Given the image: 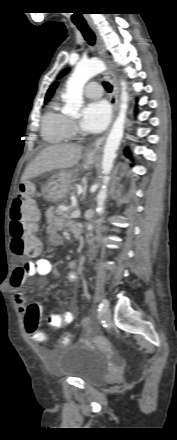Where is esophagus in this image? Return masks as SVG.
<instances>
[{
  "instance_id": "1",
  "label": "esophagus",
  "mask_w": 177,
  "mask_h": 440,
  "mask_svg": "<svg viewBox=\"0 0 177 440\" xmlns=\"http://www.w3.org/2000/svg\"><path fill=\"white\" fill-rule=\"evenodd\" d=\"M88 25H89V27L91 28V30L94 32V34L96 36L97 45H98L97 46L98 47V53H99L100 57L105 60L106 59V50H105V46H104V43H103V39H102V37H101V35L99 33V30H98L97 26L93 22H88ZM104 75L110 81V83L112 84V87H113V91H112V94L110 96V101H111V104L113 106V117H114L115 112L117 110V104H118V85H117V82H116L115 75L113 74L112 71L107 70L104 73ZM106 135L107 134H105L102 137L98 138L89 147V149L87 151V155L89 157H94V156H96L99 153V151L102 149L103 144L105 142Z\"/></svg>"
}]
</instances>
